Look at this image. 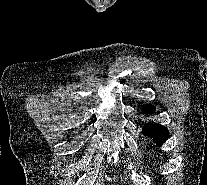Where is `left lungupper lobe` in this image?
<instances>
[{
	"mask_svg": "<svg viewBox=\"0 0 207 185\" xmlns=\"http://www.w3.org/2000/svg\"><path fill=\"white\" fill-rule=\"evenodd\" d=\"M143 111L150 114L154 111V107L145 105L143 107ZM143 134L153 138L154 142L160 146L169 138V132L167 128L159 124H145L143 128Z\"/></svg>",
	"mask_w": 207,
	"mask_h": 185,
	"instance_id": "5c2ea615",
	"label": "left lung upper lobe"
}]
</instances>
